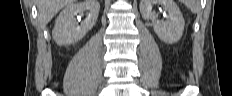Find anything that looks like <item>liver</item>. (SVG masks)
I'll return each mask as SVG.
<instances>
[{
  "label": "liver",
  "instance_id": "liver-1",
  "mask_svg": "<svg viewBox=\"0 0 232 96\" xmlns=\"http://www.w3.org/2000/svg\"><path fill=\"white\" fill-rule=\"evenodd\" d=\"M73 2L75 0H37L38 18L42 25L48 24L64 6Z\"/></svg>",
  "mask_w": 232,
  "mask_h": 96
}]
</instances>
